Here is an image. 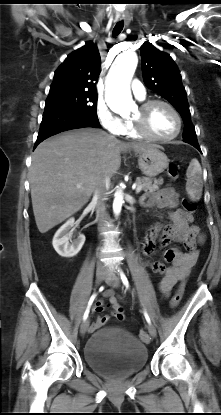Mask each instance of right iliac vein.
Segmentation results:
<instances>
[{
	"label": "right iliac vein",
	"mask_w": 221,
	"mask_h": 415,
	"mask_svg": "<svg viewBox=\"0 0 221 415\" xmlns=\"http://www.w3.org/2000/svg\"><path fill=\"white\" fill-rule=\"evenodd\" d=\"M107 278V273L103 270H98L96 273V282L98 285H100L103 280ZM89 328V320H85L80 327L81 334H85Z\"/></svg>",
	"instance_id": "1"
}]
</instances>
